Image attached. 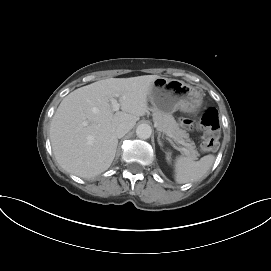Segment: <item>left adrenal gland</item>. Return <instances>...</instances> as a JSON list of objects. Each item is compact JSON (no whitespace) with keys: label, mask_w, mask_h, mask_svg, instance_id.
<instances>
[{"label":"left adrenal gland","mask_w":271,"mask_h":271,"mask_svg":"<svg viewBox=\"0 0 271 271\" xmlns=\"http://www.w3.org/2000/svg\"><path fill=\"white\" fill-rule=\"evenodd\" d=\"M160 137H161V134L158 133V137H157L158 144L160 145V147H163V144H162V142H161Z\"/></svg>","instance_id":"left-adrenal-gland-1"}]
</instances>
